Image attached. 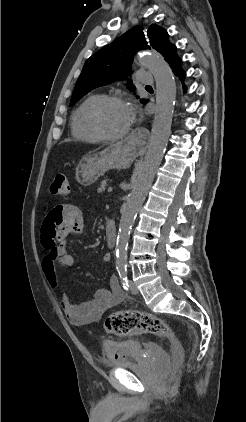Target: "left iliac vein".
<instances>
[{
    "instance_id": "left-iliac-vein-1",
    "label": "left iliac vein",
    "mask_w": 246,
    "mask_h": 422,
    "mask_svg": "<svg viewBox=\"0 0 246 422\" xmlns=\"http://www.w3.org/2000/svg\"><path fill=\"white\" fill-rule=\"evenodd\" d=\"M129 287H130V291L133 294H138L139 293V290H138L136 284L133 281H129Z\"/></svg>"
}]
</instances>
